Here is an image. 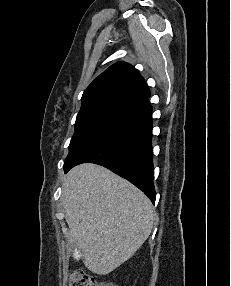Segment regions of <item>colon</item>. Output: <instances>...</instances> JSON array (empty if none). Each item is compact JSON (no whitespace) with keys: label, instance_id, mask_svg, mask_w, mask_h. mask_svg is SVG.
<instances>
[{"label":"colon","instance_id":"5ec220e1","mask_svg":"<svg viewBox=\"0 0 231 286\" xmlns=\"http://www.w3.org/2000/svg\"><path fill=\"white\" fill-rule=\"evenodd\" d=\"M69 286H117L113 283L98 281L83 270H75L69 277Z\"/></svg>","mask_w":231,"mask_h":286}]
</instances>
